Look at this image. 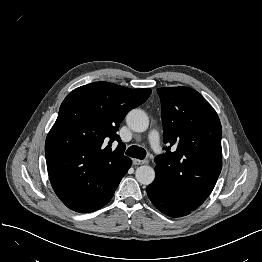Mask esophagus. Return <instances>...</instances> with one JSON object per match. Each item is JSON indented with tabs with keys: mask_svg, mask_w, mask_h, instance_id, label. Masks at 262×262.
Segmentation results:
<instances>
[{
	"mask_svg": "<svg viewBox=\"0 0 262 262\" xmlns=\"http://www.w3.org/2000/svg\"><path fill=\"white\" fill-rule=\"evenodd\" d=\"M146 163H147L146 160L133 159V164L134 165H143V164H146Z\"/></svg>",
	"mask_w": 262,
	"mask_h": 262,
	"instance_id": "obj_1",
	"label": "esophagus"
}]
</instances>
